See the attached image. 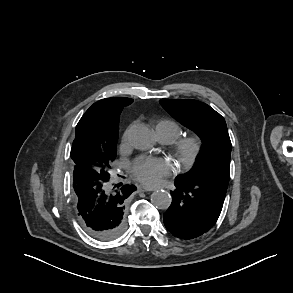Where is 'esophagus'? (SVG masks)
I'll return each instance as SVG.
<instances>
[{
  "label": "esophagus",
  "mask_w": 293,
  "mask_h": 293,
  "mask_svg": "<svg viewBox=\"0 0 293 293\" xmlns=\"http://www.w3.org/2000/svg\"><path fill=\"white\" fill-rule=\"evenodd\" d=\"M156 189L157 187H154V186H140L138 188L139 191H154Z\"/></svg>",
  "instance_id": "34e87169"
}]
</instances>
